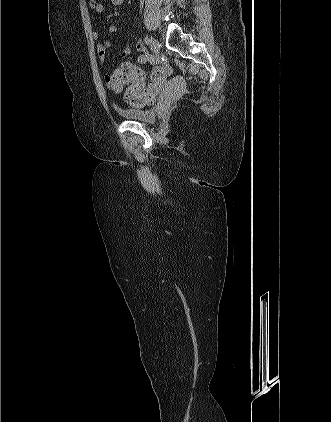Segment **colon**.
Wrapping results in <instances>:
<instances>
[{"label": "colon", "mask_w": 331, "mask_h": 422, "mask_svg": "<svg viewBox=\"0 0 331 422\" xmlns=\"http://www.w3.org/2000/svg\"><path fill=\"white\" fill-rule=\"evenodd\" d=\"M154 76L164 78L172 74V68L169 64L161 63L154 68ZM112 83V91L120 94L126 84L131 83L125 92L127 100L137 102L143 105L150 103V99L141 95L133 84L144 77V72L132 63H123L114 72L109 75Z\"/></svg>", "instance_id": "colon-1"}]
</instances>
